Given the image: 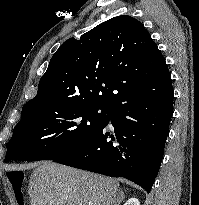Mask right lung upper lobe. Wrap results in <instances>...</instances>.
I'll return each mask as SVG.
<instances>
[{
  "mask_svg": "<svg viewBox=\"0 0 199 205\" xmlns=\"http://www.w3.org/2000/svg\"><path fill=\"white\" fill-rule=\"evenodd\" d=\"M169 73L166 61L144 25L122 15L80 39L66 40L52 56L29 105L67 102L109 109Z\"/></svg>",
  "mask_w": 199,
  "mask_h": 205,
  "instance_id": "right-lung-upper-lobe-1",
  "label": "right lung upper lobe"
}]
</instances>
